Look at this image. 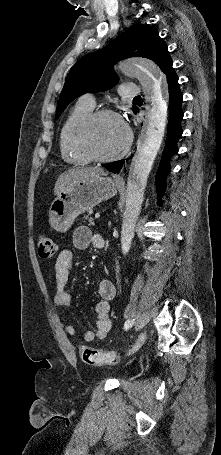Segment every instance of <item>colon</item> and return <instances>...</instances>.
<instances>
[{"mask_svg":"<svg viewBox=\"0 0 221 455\" xmlns=\"http://www.w3.org/2000/svg\"><path fill=\"white\" fill-rule=\"evenodd\" d=\"M38 253L42 258H52L56 253V246L53 239L42 234L38 239ZM80 356L84 363L95 366L116 364L120 360L119 354L111 351L93 349L87 346L80 348Z\"/></svg>","mask_w":221,"mask_h":455,"instance_id":"5ec220e1","label":"colon"}]
</instances>
